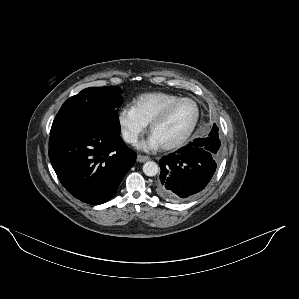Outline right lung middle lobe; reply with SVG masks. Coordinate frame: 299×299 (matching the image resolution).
<instances>
[{"label": "right lung middle lobe", "instance_id": "dd1d6c3e", "mask_svg": "<svg viewBox=\"0 0 299 299\" xmlns=\"http://www.w3.org/2000/svg\"><path fill=\"white\" fill-rule=\"evenodd\" d=\"M122 91L116 86L91 87L70 97L56 115L50 134L72 126H98L120 132L117 108Z\"/></svg>", "mask_w": 299, "mask_h": 299}]
</instances>
